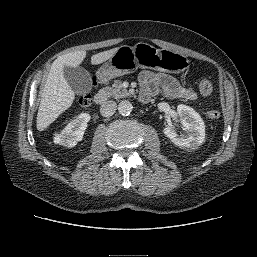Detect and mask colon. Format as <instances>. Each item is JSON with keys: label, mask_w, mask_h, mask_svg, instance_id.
Segmentation results:
<instances>
[{"label": "colon", "mask_w": 257, "mask_h": 257, "mask_svg": "<svg viewBox=\"0 0 257 257\" xmlns=\"http://www.w3.org/2000/svg\"><path fill=\"white\" fill-rule=\"evenodd\" d=\"M214 91V86L213 84L208 81V80H203L200 82L199 84V92L202 96H209L213 93ZM80 104L84 107H87L89 105H91L92 103V98L90 95H84L80 98ZM208 116L213 119L216 120L220 117V113L217 110H210L208 112Z\"/></svg>", "instance_id": "1"}]
</instances>
